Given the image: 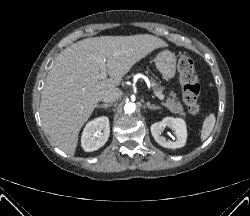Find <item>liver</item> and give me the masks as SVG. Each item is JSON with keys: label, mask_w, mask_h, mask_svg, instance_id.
I'll list each match as a JSON object with an SVG mask.
<instances>
[{"label": "liver", "mask_w": 250, "mask_h": 216, "mask_svg": "<svg viewBox=\"0 0 250 216\" xmlns=\"http://www.w3.org/2000/svg\"><path fill=\"white\" fill-rule=\"evenodd\" d=\"M162 39L139 34L86 38L64 49L47 74L40 116L53 143L74 155L79 132L101 101V95L121 83L132 66L153 50L166 47ZM105 59L108 79H99Z\"/></svg>", "instance_id": "1"}]
</instances>
